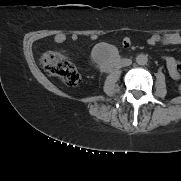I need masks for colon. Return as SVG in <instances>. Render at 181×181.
Here are the masks:
<instances>
[{
	"instance_id": "5ec220e1",
	"label": "colon",
	"mask_w": 181,
	"mask_h": 181,
	"mask_svg": "<svg viewBox=\"0 0 181 181\" xmlns=\"http://www.w3.org/2000/svg\"><path fill=\"white\" fill-rule=\"evenodd\" d=\"M44 71L59 78L68 86H76L80 82V74L76 66L58 52H47L41 57ZM181 92V85L179 87Z\"/></svg>"
}]
</instances>
